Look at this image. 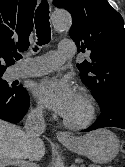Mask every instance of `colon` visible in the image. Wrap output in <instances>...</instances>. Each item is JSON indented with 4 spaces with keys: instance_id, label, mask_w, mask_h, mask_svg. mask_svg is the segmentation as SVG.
Listing matches in <instances>:
<instances>
[{
    "instance_id": "1",
    "label": "colon",
    "mask_w": 125,
    "mask_h": 167,
    "mask_svg": "<svg viewBox=\"0 0 125 167\" xmlns=\"http://www.w3.org/2000/svg\"><path fill=\"white\" fill-rule=\"evenodd\" d=\"M121 151H122L123 157H124L123 160L125 161V142L122 145ZM122 167H125V164Z\"/></svg>"
}]
</instances>
